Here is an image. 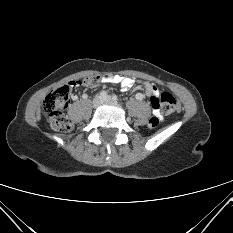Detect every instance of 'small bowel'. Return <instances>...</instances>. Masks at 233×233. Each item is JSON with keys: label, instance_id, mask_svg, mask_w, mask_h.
I'll list each match as a JSON object with an SVG mask.
<instances>
[{"label": "small bowel", "instance_id": "1", "mask_svg": "<svg viewBox=\"0 0 233 233\" xmlns=\"http://www.w3.org/2000/svg\"><path fill=\"white\" fill-rule=\"evenodd\" d=\"M100 81L103 82V83H106V82H110V83H115V84H120L121 85V90L122 91H128L134 84V80L132 78H128V77H122V76H119V75H114V74H103L100 76ZM84 80L83 79H78V80H70L69 83H68V86L70 89H76V88H80V89H84ZM142 88H143V91H144V94L147 95L150 100L152 101V99L154 98H157L159 96V90L158 88L151 84V83H148V82H143L142 83ZM143 93L141 92H138L136 94V98L138 100H141L143 98ZM152 104V103H151ZM153 106V114L155 117L158 118V120H162V115L160 113V110L154 106Z\"/></svg>", "mask_w": 233, "mask_h": 233}]
</instances>
